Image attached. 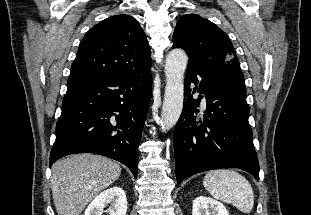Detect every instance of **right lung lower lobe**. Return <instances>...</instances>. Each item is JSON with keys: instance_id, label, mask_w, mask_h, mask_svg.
Returning a JSON list of instances; mask_svg holds the SVG:
<instances>
[{"instance_id": "obj_1", "label": "right lung lower lobe", "mask_w": 311, "mask_h": 215, "mask_svg": "<svg viewBox=\"0 0 311 215\" xmlns=\"http://www.w3.org/2000/svg\"><path fill=\"white\" fill-rule=\"evenodd\" d=\"M150 71L130 76L69 77L50 166L63 156L95 153L137 177V148L151 97Z\"/></svg>"}]
</instances>
